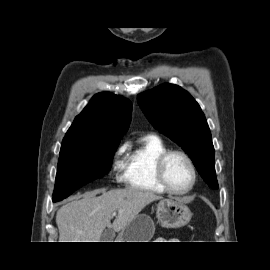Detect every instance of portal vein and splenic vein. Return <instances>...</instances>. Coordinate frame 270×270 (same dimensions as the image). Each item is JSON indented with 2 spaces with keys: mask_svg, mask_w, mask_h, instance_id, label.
<instances>
[{
  "mask_svg": "<svg viewBox=\"0 0 270 270\" xmlns=\"http://www.w3.org/2000/svg\"><path fill=\"white\" fill-rule=\"evenodd\" d=\"M116 215V212H113V216H115Z\"/></svg>",
  "mask_w": 270,
  "mask_h": 270,
  "instance_id": "portal-vein-and-splenic-vein-1",
  "label": "portal vein and splenic vein"
}]
</instances>
